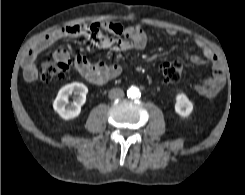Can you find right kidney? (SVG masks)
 <instances>
[{"label":"right kidney","mask_w":245,"mask_h":195,"mask_svg":"<svg viewBox=\"0 0 245 195\" xmlns=\"http://www.w3.org/2000/svg\"><path fill=\"white\" fill-rule=\"evenodd\" d=\"M75 94L74 101L69 104V97ZM88 88L80 82H73L63 86L57 94L53 103L54 110L64 120H70L78 117L81 113V107L86 102Z\"/></svg>","instance_id":"obj_1"}]
</instances>
